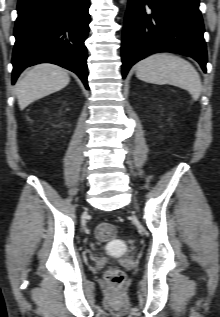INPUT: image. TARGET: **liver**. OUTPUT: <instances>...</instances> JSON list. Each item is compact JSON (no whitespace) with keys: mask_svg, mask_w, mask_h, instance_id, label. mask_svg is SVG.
<instances>
[{"mask_svg":"<svg viewBox=\"0 0 220 317\" xmlns=\"http://www.w3.org/2000/svg\"><path fill=\"white\" fill-rule=\"evenodd\" d=\"M68 72L53 64H39L29 69L16 83L20 110L32 102L55 93L68 85Z\"/></svg>","mask_w":220,"mask_h":317,"instance_id":"1","label":"liver"}]
</instances>
